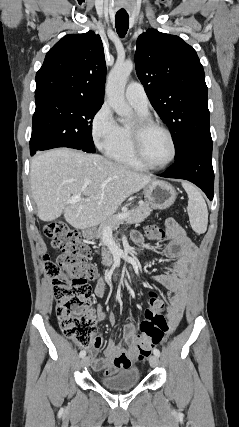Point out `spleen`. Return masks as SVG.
<instances>
[{
  "instance_id": "1",
  "label": "spleen",
  "mask_w": 239,
  "mask_h": 427,
  "mask_svg": "<svg viewBox=\"0 0 239 427\" xmlns=\"http://www.w3.org/2000/svg\"><path fill=\"white\" fill-rule=\"evenodd\" d=\"M182 186L188 195V215L192 229L197 234H203L207 230L208 210L206 202L200 191L188 182H182Z\"/></svg>"
}]
</instances>
